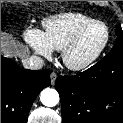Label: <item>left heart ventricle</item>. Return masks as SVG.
<instances>
[{"instance_id":"left-heart-ventricle-1","label":"left heart ventricle","mask_w":123,"mask_h":123,"mask_svg":"<svg viewBox=\"0 0 123 123\" xmlns=\"http://www.w3.org/2000/svg\"><path fill=\"white\" fill-rule=\"evenodd\" d=\"M106 36L105 29L96 25L88 30L71 52L70 58L79 63L90 58L101 46Z\"/></svg>"}]
</instances>
